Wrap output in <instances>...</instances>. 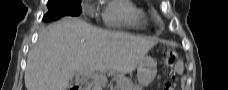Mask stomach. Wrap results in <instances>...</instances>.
Here are the masks:
<instances>
[{"label":"stomach","mask_w":228,"mask_h":90,"mask_svg":"<svg viewBox=\"0 0 228 90\" xmlns=\"http://www.w3.org/2000/svg\"><path fill=\"white\" fill-rule=\"evenodd\" d=\"M138 81L142 85H149L157 74V63L150 56H144L137 67Z\"/></svg>","instance_id":"obj_1"}]
</instances>
